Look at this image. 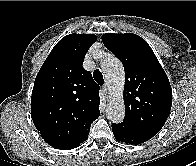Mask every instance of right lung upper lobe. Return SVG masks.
Segmentation results:
<instances>
[{
  "instance_id": "1",
  "label": "right lung upper lobe",
  "mask_w": 196,
  "mask_h": 166,
  "mask_svg": "<svg viewBox=\"0 0 196 166\" xmlns=\"http://www.w3.org/2000/svg\"><path fill=\"white\" fill-rule=\"evenodd\" d=\"M95 35L70 34L52 49L38 72L31 97V116L49 145L82 143L100 115L99 89L82 64Z\"/></svg>"
}]
</instances>
